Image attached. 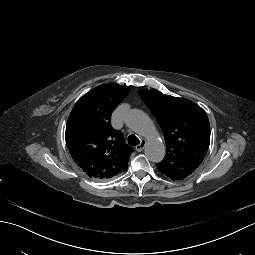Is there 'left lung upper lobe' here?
I'll list each match as a JSON object with an SVG mask.
<instances>
[{"instance_id":"obj_1","label":"left lung upper lobe","mask_w":255,"mask_h":255,"mask_svg":"<svg viewBox=\"0 0 255 255\" xmlns=\"http://www.w3.org/2000/svg\"><path fill=\"white\" fill-rule=\"evenodd\" d=\"M139 95L157 119L166 141L167 153L158 170L172 180H182L203 161L210 144L206 112L194 102L140 90Z\"/></svg>"}]
</instances>
